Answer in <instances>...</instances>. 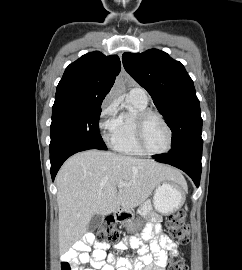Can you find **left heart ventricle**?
<instances>
[{
    "mask_svg": "<svg viewBox=\"0 0 242 270\" xmlns=\"http://www.w3.org/2000/svg\"><path fill=\"white\" fill-rule=\"evenodd\" d=\"M144 137L145 144L151 151L159 152L163 151L167 147V130L157 118H152L148 121Z\"/></svg>",
    "mask_w": 242,
    "mask_h": 270,
    "instance_id": "1",
    "label": "left heart ventricle"
}]
</instances>
